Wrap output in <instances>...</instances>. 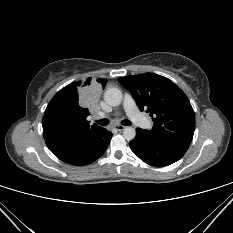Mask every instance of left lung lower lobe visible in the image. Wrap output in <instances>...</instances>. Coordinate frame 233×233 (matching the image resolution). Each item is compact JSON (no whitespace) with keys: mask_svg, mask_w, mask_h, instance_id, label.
I'll return each mask as SVG.
<instances>
[{"mask_svg":"<svg viewBox=\"0 0 233 233\" xmlns=\"http://www.w3.org/2000/svg\"><path fill=\"white\" fill-rule=\"evenodd\" d=\"M129 145L142 161L155 167L175 163L188 149L186 146L160 142L141 128L136 129V136Z\"/></svg>","mask_w":233,"mask_h":233,"instance_id":"0a47b994","label":"left lung lower lobe"}]
</instances>
